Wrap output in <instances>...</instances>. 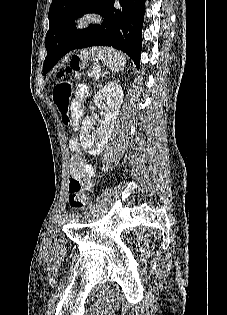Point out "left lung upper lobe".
<instances>
[{"label":"left lung upper lobe","mask_w":227,"mask_h":315,"mask_svg":"<svg viewBox=\"0 0 227 315\" xmlns=\"http://www.w3.org/2000/svg\"><path fill=\"white\" fill-rule=\"evenodd\" d=\"M108 0H53L49 9V31L45 42L54 37L69 46L83 39L91 28L77 30L73 21L86 13L101 14ZM43 74H46L43 69Z\"/></svg>","instance_id":"obj_1"}]
</instances>
